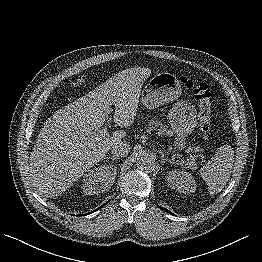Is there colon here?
Segmentation results:
<instances>
[{"instance_id":"obj_1","label":"colon","mask_w":262,"mask_h":262,"mask_svg":"<svg viewBox=\"0 0 262 262\" xmlns=\"http://www.w3.org/2000/svg\"><path fill=\"white\" fill-rule=\"evenodd\" d=\"M84 79L80 78L75 83V87L83 85ZM181 82L190 89L198 103V126L203 134L206 144H209V131L211 126V92L208 85L199 78L183 77Z\"/></svg>"}]
</instances>
